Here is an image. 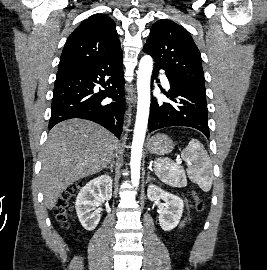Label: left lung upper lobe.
I'll return each instance as SVG.
<instances>
[{
	"mask_svg": "<svg viewBox=\"0 0 267 270\" xmlns=\"http://www.w3.org/2000/svg\"><path fill=\"white\" fill-rule=\"evenodd\" d=\"M143 51L153 57L155 66L165 70L169 82L205 94L201 54L182 26L158 20L151 27Z\"/></svg>",
	"mask_w": 267,
	"mask_h": 270,
	"instance_id": "left-lung-upper-lobe-1",
	"label": "left lung upper lobe"
}]
</instances>
